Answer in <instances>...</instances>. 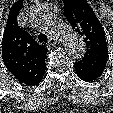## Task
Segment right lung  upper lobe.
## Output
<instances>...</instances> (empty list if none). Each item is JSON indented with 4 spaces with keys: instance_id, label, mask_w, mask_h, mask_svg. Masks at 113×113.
<instances>
[{
    "instance_id": "obj_1",
    "label": "right lung upper lobe",
    "mask_w": 113,
    "mask_h": 113,
    "mask_svg": "<svg viewBox=\"0 0 113 113\" xmlns=\"http://www.w3.org/2000/svg\"><path fill=\"white\" fill-rule=\"evenodd\" d=\"M22 5L18 1L10 9L2 40V59L20 83L34 86L43 79L47 48L18 26L17 15Z\"/></svg>"
}]
</instances>
